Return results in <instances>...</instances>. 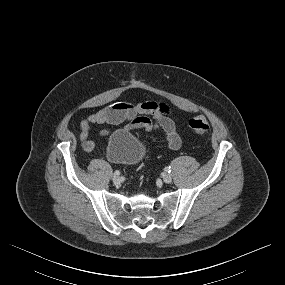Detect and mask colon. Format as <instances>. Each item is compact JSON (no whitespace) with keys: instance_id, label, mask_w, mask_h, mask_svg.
<instances>
[{"instance_id":"colon-1","label":"colon","mask_w":285,"mask_h":285,"mask_svg":"<svg viewBox=\"0 0 285 285\" xmlns=\"http://www.w3.org/2000/svg\"><path fill=\"white\" fill-rule=\"evenodd\" d=\"M189 126L199 136H204L209 129L208 121L202 115L190 119Z\"/></svg>"}]
</instances>
